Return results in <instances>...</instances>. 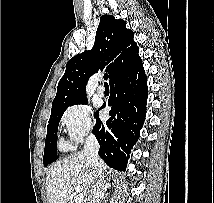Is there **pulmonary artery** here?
Wrapping results in <instances>:
<instances>
[{"label": "pulmonary artery", "instance_id": "1", "mask_svg": "<svg viewBox=\"0 0 214 203\" xmlns=\"http://www.w3.org/2000/svg\"><path fill=\"white\" fill-rule=\"evenodd\" d=\"M97 93H98L99 96H104L105 95V88H104V86H102V85L98 86Z\"/></svg>", "mask_w": 214, "mask_h": 203}]
</instances>
